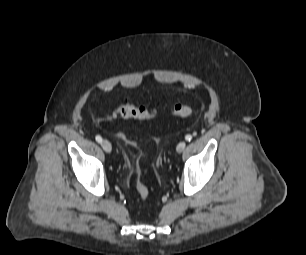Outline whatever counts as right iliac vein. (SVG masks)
<instances>
[{"instance_id":"obj_1","label":"right iliac vein","mask_w":306,"mask_h":255,"mask_svg":"<svg viewBox=\"0 0 306 255\" xmlns=\"http://www.w3.org/2000/svg\"><path fill=\"white\" fill-rule=\"evenodd\" d=\"M101 146H102L103 150H104L105 152H107V153H110L111 150H112L111 143H110L109 141H107V140H103V141L101 142Z\"/></svg>"}]
</instances>
